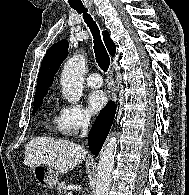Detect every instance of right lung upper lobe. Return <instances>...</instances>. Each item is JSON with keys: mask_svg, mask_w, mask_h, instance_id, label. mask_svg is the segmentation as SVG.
Segmentation results:
<instances>
[{"mask_svg": "<svg viewBox=\"0 0 189 195\" xmlns=\"http://www.w3.org/2000/svg\"><path fill=\"white\" fill-rule=\"evenodd\" d=\"M103 40L111 56H114L116 46L107 31H103ZM68 47V41L64 39L52 45L46 52L38 74L34 102L42 100L47 94L48 88L53 83L54 75L68 55Z\"/></svg>", "mask_w": 189, "mask_h": 195, "instance_id": "right-lung-upper-lobe-1", "label": "right lung upper lobe"}]
</instances>
